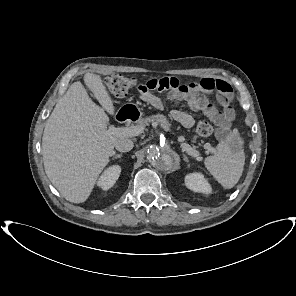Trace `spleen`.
Instances as JSON below:
<instances>
[{"label": "spleen", "instance_id": "3e777b00", "mask_svg": "<svg viewBox=\"0 0 296 296\" xmlns=\"http://www.w3.org/2000/svg\"><path fill=\"white\" fill-rule=\"evenodd\" d=\"M245 163L243 140L237 130H233L216 146L215 153L204 160L205 167L226 189L239 181Z\"/></svg>", "mask_w": 296, "mask_h": 296}]
</instances>
